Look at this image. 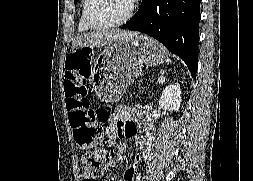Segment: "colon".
<instances>
[{"label": "colon", "mask_w": 253, "mask_h": 181, "mask_svg": "<svg viewBox=\"0 0 253 181\" xmlns=\"http://www.w3.org/2000/svg\"><path fill=\"white\" fill-rule=\"evenodd\" d=\"M90 48H76L66 59V81L64 85L69 124L76 144L90 148L99 143L104 136L103 123L109 118L108 110L93 109L87 98V88L80 83V53H90ZM109 154L102 149L87 152L83 158L84 167L92 174L102 173L109 165Z\"/></svg>", "instance_id": "colon-1"}]
</instances>
